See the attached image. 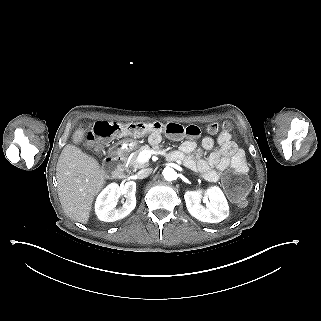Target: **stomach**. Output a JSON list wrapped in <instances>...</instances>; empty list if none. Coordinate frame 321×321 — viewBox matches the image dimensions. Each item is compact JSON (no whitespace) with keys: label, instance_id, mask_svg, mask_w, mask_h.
I'll return each instance as SVG.
<instances>
[{"label":"stomach","instance_id":"stomach-1","mask_svg":"<svg viewBox=\"0 0 321 321\" xmlns=\"http://www.w3.org/2000/svg\"><path fill=\"white\" fill-rule=\"evenodd\" d=\"M126 142H128V141L127 140L119 141L118 143L115 144V147H117L123 143H126Z\"/></svg>","mask_w":321,"mask_h":321}]
</instances>
